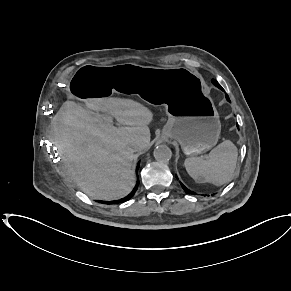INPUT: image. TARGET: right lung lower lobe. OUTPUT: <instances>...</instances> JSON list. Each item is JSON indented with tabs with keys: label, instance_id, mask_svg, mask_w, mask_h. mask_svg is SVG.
Masks as SVG:
<instances>
[{
	"label": "right lung lower lobe",
	"instance_id": "obj_1",
	"mask_svg": "<svg viewBox=\"0 0 291 291\" xmlns=\"http://www.w3.org/2000/svg\"><path fill=\"white\" fill-rule=\"evenodd\" d=\"M138 168H139V163H138L136 171H138ZM138 185H139V181H137V184L135 185V187L132 190V192L129 195H127L126 197H124V198H122L120 200H115V201H110V202H108V201H99V202L105 203V204H118V203L126 202V201H128L129 199H131L134 196L136 190L138 189Z\"/></svg>",
	"mask_w": 291,
	"mask_h": 291
}]
</instances>
